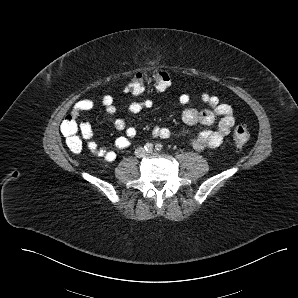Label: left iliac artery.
<instances>
[{"mask_svg":"<svg viewBox=\"0 0 298 298\" xmlns=\"http://www.w3.org/2000/svg\"><path fill=\"white\" fill-rule=\"evenodd\" d=\"M162 145L160 144V143H158V144H156L155 145V149L157 150V151H161L162 150Z\"/></svg>","mask_w":298,"mask_h":298,"instance_id":"44dca946","label":"left iliac artery"}]
</instances>
